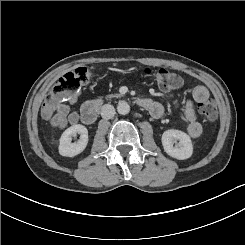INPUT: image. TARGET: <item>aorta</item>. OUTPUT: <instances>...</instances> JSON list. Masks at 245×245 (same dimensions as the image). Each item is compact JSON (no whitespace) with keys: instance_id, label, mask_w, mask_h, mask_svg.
Instances as JSON below:
<instances>
[{"instance_id":"762f6f07","label":"aorta","mask_w":245,"mask_h":245,"mask_svg":"<svg viewBox=\"0 0 245 245\" xmlns=\"http://www.w3.org/2000/svg\"><path fill=\"white\" fill-rule=\"evenodd\" d=\"M117 112L121 115H126L130 112V106L125 101H120L117 105Z\"/></svg>"}]
</instances>
